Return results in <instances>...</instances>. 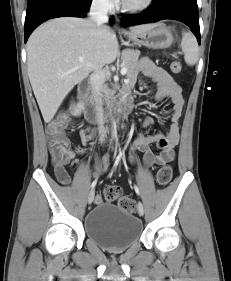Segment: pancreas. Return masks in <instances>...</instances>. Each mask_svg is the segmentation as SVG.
Returning <instances> with one entry per match:
<instances>
[{
  "mask_svg": "<svg viewBox=\"0 0 231 281\" xmlns=\"http://www.w3.org/2000/svg\"><path fill=\"white\" fill-rule=\"evenodd\" d=\"M139 56H140L139 50L125 49L122 52L121 66L127 68L128 76H130L133 73V71L135 70V68L137 67ZM102 91L104 93L106 103L111 104L115 99V97H114L115 90L109 89L106 85H104Z\"/></svg>",
  "mask_w": 231,
  "mask_h": 281,
  "instance_id": "obj_1",
  "label": "pancreas"
}]
</instances>
